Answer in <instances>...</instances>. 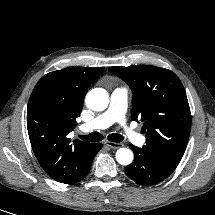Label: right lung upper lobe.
I'll return each instance as SVG.
<instances>
[{
  "instance_id": "cb5924a9",
  "label": "right lung upper lobe",
  "mask_w": 215,
  "mask_h": 215,
  "mask_svg": "<svg viewBox=\"0 0 215 215\" xmlns=\"http://www.w3.org/2000/svg\"><path fill=\"white\" fill-rule=\"evenodd\" d=\"M104 67H68L44 75L27 106V129L32 149L54 180L73 184L89 158L93 143L71 142L90 84Z\"/></svg>"
}]
</instances>
